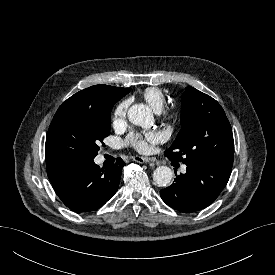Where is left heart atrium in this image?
Returning a JSON list of instances; mask_svg holds the SVG:
<instances>
[{"instance_id":"39dd6f15","label":"left heart atrium","mask_w":275,"mask_h":275,"mask_svg":"<svg viewBox=\"0 0 275 275\" xmlns=\"http://www.w3.org/2000/svg\"><path fill=\"white\" fill-rule=\"evenodd\" d=\"M158 140V134L152 131L144 134H131L128 137V142L137 150L143 151L146 149V142H156Z\"/></svg>"}]
</instances>
